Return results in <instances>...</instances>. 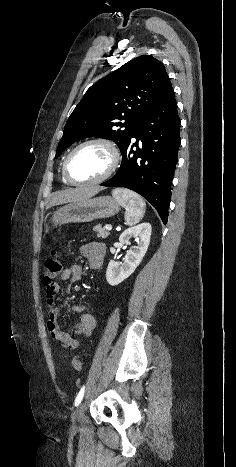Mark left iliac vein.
<instances>
[{
    "label": "left iliac vein",
    "instance_id": "1",
    "mask_svg": "<svg viewBox=\"0 0 236 467\" xmlns=\"http://www.w3.org/2000/svg\"><path fill=\"white\" fill-rule=\"evenodd\" d=\"M84 410H85V404L81 403L76 411L74 412L73 415V424L75 426L81 425L83 423V418H84Z\"/></svg>",
    "mask_w": 236,
    "mask_h": 467
}]
</instances>
